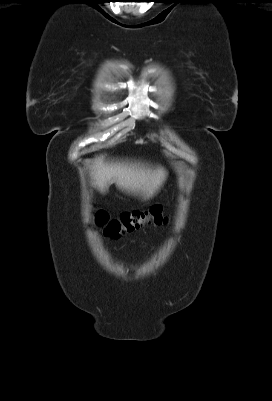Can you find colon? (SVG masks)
I'll list each match as a JSON object with an SVG mask.
<instances>
[{
	"label": "colon",
	"mask_w": 272,
	"mask_h": 401,
	"mask_svg": "<svg viewBox=\"0 0 272 401\" xmlns=\"http://www.w3.org/2000/svg\"><path fill=\"white\" fill-rule=\"evenodd\" d=\"M94 221L97 226L102 228L103 234L107 238L116 239L151 223L160 225L163 223L164 217L161 207L153 206L148 210L125 211L118 217H110L104 211H97Z\"/></svg>",
	"instance_id": "5ec220e1"
}]
</instances>
